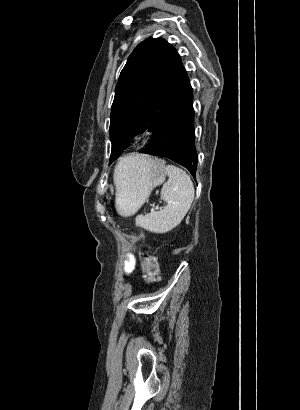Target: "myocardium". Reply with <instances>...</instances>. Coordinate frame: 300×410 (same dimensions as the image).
<instances>
[{"label": "myocardium", "instance_id": "obj_1", "mask_svg": "<svg viewBox=\"0 0 300 410\" xmlns=\"http://www.w3.org/2000/svg\"><path fill=\"white\" fill-rule=\"evenodd\" d=\"M147 139H148V133H147V132H144V131H142V132H136V133H134L133 135H131L130 138H129V140H130L132 143H141V142H143V141H145V140H147Z\"/></svg>", "mask_w": 300, "mask_h": 410}]
</instances>
